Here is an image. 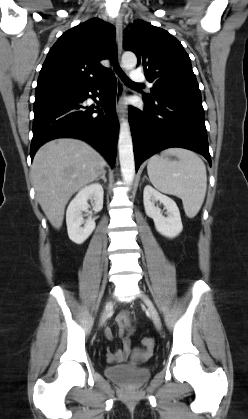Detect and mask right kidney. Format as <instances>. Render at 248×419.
<instances>
[{
	"instance_id": "obj_1",
	"label": "right kidney",
	"mask_w": 248,
	"mask_h": 419,
	"mask_svg": "<svg viewBox=\"0 0 248 419\" xmlns=\"http://www.w3.org/2000/svg\"><path fill=\"white\" fill-rule=\"evenodd\" d=\"M103 187L93 183L82 188L70 202L66 212V224L69 238L76 244H82L95 229L94 219L85 221L82 212L89 207L88 200L92 201L93 210L98 212L103 208ZM84 224V227L81 225Z\"/></svg>"
}]
</instances>
